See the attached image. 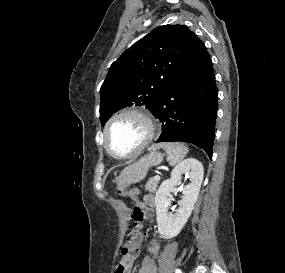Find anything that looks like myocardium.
Returning a JSON list of instances; mask_svg holds the SVG:
<instances>
[{"instance_id": "1", "label": "myocardium", "mask_w": 285, "mask_h": 273, "mask_svg": "<svg viewBox=\"0 0 285 273\" xmlns=\"http://www.w3.org/2000/svg\"><path fill=\"white\" fill-rule=\"evenodd\" d=\"M128 115L136 116L144 122V124L146 126V135H145L144 139L141 141V143L134 150H132L130 153L124 154V155L116 154L115 152H113L111 150V148L109 146L108 139H107L108 132H109L111 125L116 120H118L121 117L128 116ZM158 129H159V125H158L156 118L148 110H146L144 108H138V107L124 108V109L118 111L117 113H115L113 116H111L110 119L107 121L106 125L104 126V129H103V145H104L105 150L111 156H113L117 159L131 158V157L137 155L139 152H141L146 146H148L152 142V140L157 135Z\"/></svg>"}]
</instances>
